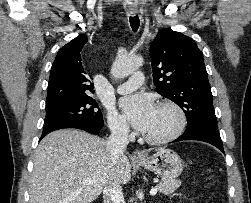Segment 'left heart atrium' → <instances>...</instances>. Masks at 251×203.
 <instances>
[{"label":"left heart atrium","mask_w":251,"mask_h":203,"mask_svg":"<svg viewBox=\"0 0 251 203\" xmlns=\"http://www.w3.org/2000/svg\"><path fill=\"white\" fill-rule=\"evenodd\" d=\"M120 106L132 126L146 132L156 112L152 97L144 93L126 96L121 99Z\"/></svg>","instance_id":"obj_1"}]
</instances>
